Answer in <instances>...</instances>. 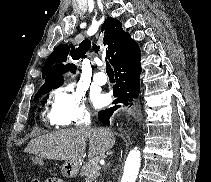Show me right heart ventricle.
I'll return each instance as SVG.
<instances>
[{
    "instance_id": "right-heart-ventricle-1",
    "label": "right heart ventricle",
    "mask_w": 211,
    "mask_h": 182,
    "mask_svg": "<svg viewBox=\"0 0 211 182\" xmlns=\"http://www.w3.org/2000/svg\"><path fill=\"white\" fill-rule=\"evenodd\" d=\"M47 121H48L49 125H51V126L56 125L50 115L47 117Z\"/></svg>"
}]
</instances>
